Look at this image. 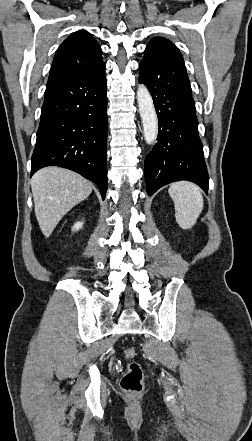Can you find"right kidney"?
<instances>
[{
  "label": "right kidney",
  "mask_w": 252,
  "mask_h": 441,
  "mask_svg": "<svg viewBox=\"0 0 252 441\" xmlns=\"http://www.w3.org/2000/svg\"><path fill=\"white\" fill-rule=\"evenodd\" d=\"M82 226H83V222H77V223L74 224L72 230L73 231H78L79 229L82 228Z\"/></svg>",
  "instance_id": "obj_1"
}]
</instances>
